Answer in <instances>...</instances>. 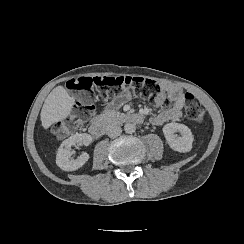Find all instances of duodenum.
Instances as JSON below:
<instances>
[{"instance_id":"1","label":"duodenum","mask_w":244,"mask_h":244,"mask_svg":"<svg viewBox=\"0 0 244 244\" xmlns=\"http://www.w3.org/2000/svg\"><path fill=\"white\" fill-rule=\"evenodd\" d=\"M144 116L140 113H124L105 117L92 122L89 125V132L96 136H104L111 128L120 123H142Z\"/></svg>"}]
</instances>
